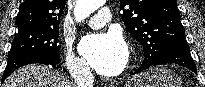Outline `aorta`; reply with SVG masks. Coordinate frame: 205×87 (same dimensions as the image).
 <instances>
[{
    "instance_id": "762f6f07",
    "label": "aorta",
    "mask_w": 205,
    "mask_h": 87,
    "mask_svg": "<svg viewBox=\"0 0 205 87\" xmlns=\"http://www.w3.org/2000/svg\"><path fill=\"white\" fill-rule=\"evenodd\" d=\"M106 0H77L74 16L77 22L85 20L90 14L103 6Z\"/></svg>"
}]
</instances>
